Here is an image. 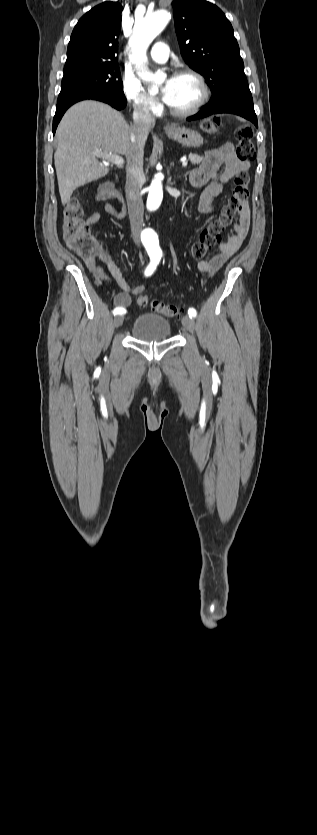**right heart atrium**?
<instances>
[{
	"instance_id": "right-heart-atrium-1",
	"label": "right heart atrium",
	"mask_w": 317,
	"mask_h": 835,
	"mask_svg": "<svg viewBox=\"0 0 317 835\" xmlns=\"http://www.w3.org/2000/svg\"><path fill=\"white\" fill-rule=\"evenodd\" d=\"M122 92L137 113L155 115L160 111V105L156 98L148 94L140 81L132 74L125 73L123 75Z\"/></svg>"
}]
</instances>
